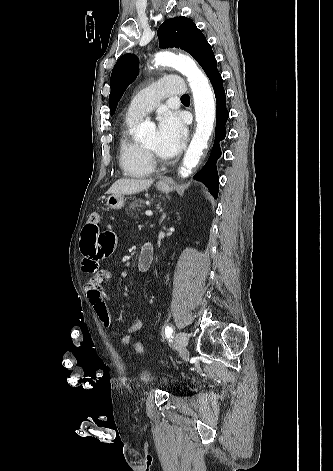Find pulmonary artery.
<instances>
[{"mask_svg":"<svg viewBox=\"0 0 333 471\" xmlns=\"http://www.w3.org/2000/svg\"><path fill=\"white\" fill-rule=\"evenodd\" d=\"M185 92L181 77L174 75L161 78L132 99L126 110V118L139 119L151 112L162 98L183 95Z\"/></svg>","mask_w":333,"mask_h":471,"instance_id":"e3ab8cb5","label":"pulmonary artery"}]
</instances>
